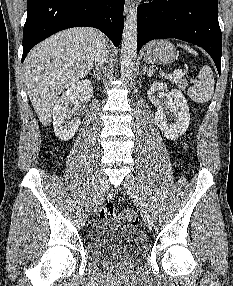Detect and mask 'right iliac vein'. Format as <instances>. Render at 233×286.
Segmentation results:
<instances>
[{
    "label": "right iliac vein",
    "mask_w": 233,
    "mask_h": 286,
    "mask_svg": "<svg viewBox=\"0 0 233 286\" xmlns=\"http://www.w3.org/2000/svg\"><path fill=\"white\" fill-rule=\"evenodd\" d=\"M107 177L101 173L98 178V184L95 191V210L100 206L107 188Z\"/></svg>",
    "instance_id": "right-iliac-vein-1"
}]
</instances>
